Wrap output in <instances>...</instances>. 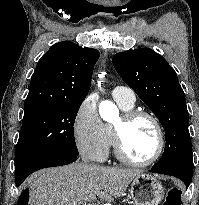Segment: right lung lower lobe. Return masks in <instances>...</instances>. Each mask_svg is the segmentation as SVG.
<instances>
[{"mask_svg": "<svg viewBox=\"0 0 199 205\" xmlns=\"http://www.w3.org/2000/svg\"><path fill=\"white\" fill-rule=\"evenodd\" d=\"M77 160V157H70L60 154L46 155L37 158L26 165L15 170V183L20 186L23 181L33 172L47 167H56L61 165L70 164Z\"/></svg>", "mask_w": 199, "mask_h": 205, "instance_id": "98d812e1", "label": "right lung lower lobe"}]
</instances>
